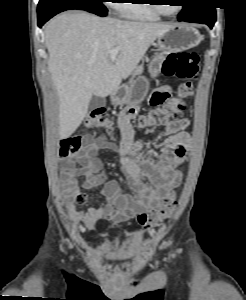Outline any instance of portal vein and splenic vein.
I'll return each instance as SVG.
<instances>
[{
  "instance_id": "obj_1",
  "label": "portal vein and splenic vein",
  "mask_w": 246,
  "mask_h": 300,
  "mask_svg": "<svg viewBox=\"0 0 246 300\" xmlns=\"http://www.w3.org/2000/svg\"><path fill=\"white\" fill-rule=\"evenodd\" d=\"M118 52H119L118 49H113V50L110 52V58H111V60L114 61V60L117 58Z\"/></svg>"
}]
</instances>
